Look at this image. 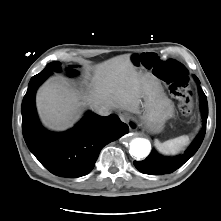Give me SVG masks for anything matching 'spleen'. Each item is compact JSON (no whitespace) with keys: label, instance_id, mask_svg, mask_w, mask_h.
<instances>
[{"label":"spleen","instance_id":"spleen-1","mask_svg":"<svg viewBox=\"0 0 221 221\" xmlns=\"http://www.w3.org/2000/svg\"><path fill=\"white\" fill-rule=\"evenodd\" d=\"M189 136L182 135L174 139L167 140L163 143L158 140L155 141L156 149L163 155L176 154L179 152L185 145L188 144Z\"/></svg>","mask_w":221,"mask_h":221}]
</instances>
